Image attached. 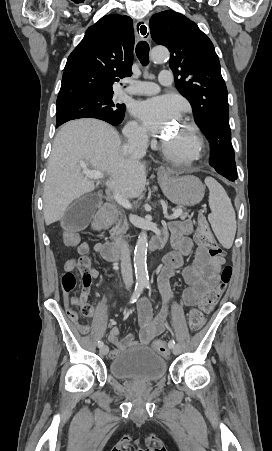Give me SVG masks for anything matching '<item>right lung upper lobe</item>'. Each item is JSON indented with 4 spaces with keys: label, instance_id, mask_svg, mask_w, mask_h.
<instances>
[{
    "label": "right lung upper lobe",
    "instance_id": "right-lung-upper-lobe-1",
    "mask_svg": "<svg viewBox=\"0 0 272 451\" xmlns=\"http://www.w3.org/2000/svg\"><path fill=\"white\" fill-rule=\"evenodd\" d=\"M133 47L130 17H102L68 57L57 99L113 95V82L132 74Z\"/></svg>",
    "mask_w": 272,
    "mask_h": 451
}]
</instances>
